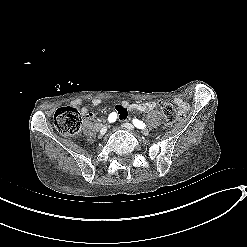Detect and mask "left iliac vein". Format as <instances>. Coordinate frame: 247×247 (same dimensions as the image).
<instances>
[{
    "mask_svg": "<svg viewBox=\"0 0 247 247\" xmlns=\"http://www.w3.org/2000/svg\"><path fill=\"white\" fill-rule=\"evenodd\" d=\"M123 126L125 128H127L128 130H131V131L134 130V126L131 123H124ZM146 133H148V132H146Z\"/></svg>",
    "mask_w": 247,
    "mask_h": 247,
    "instance_id": "obj_1",
    "label": "left iliac vein"
}]
</instances>
